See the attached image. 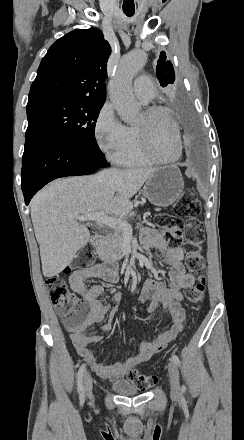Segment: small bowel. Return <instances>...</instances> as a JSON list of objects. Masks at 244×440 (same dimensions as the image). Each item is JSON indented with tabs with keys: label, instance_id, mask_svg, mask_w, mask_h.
I'll use <instances>...</instances> for the list:
<instances>
[{
	"label": "small bowel",
	"instance_id": "c3829d8e",
	"mask_svg": "<svg viewBox=\"0 0 244 440\" xmlns=\"http://www.w3.org/2000/svg\"><path fill=\"white\" fill-rule=\"evenodd\" d=\"M141 243L145 247L155 249L161 255L162 263L169 266L170 270L168 272V284L154 278L146 279L138 300L140 302H148L147 311L149 313L155 312L162 305L164 310L171 315L173 321L171 326L160 334L157 339L142 344L139 351L125 362L114 364L98 362L89 345L100 343L102 336L87 332L89 327L104 320L110 306L102 302V298L106 295L105 290L96 284L87 285L85 281L96 277L105 282L114 283L118 279L117 268L114 265L98 264L76 270L69 277V284L72 290L81 300L88 301V307H91L92 311L91 316L86 318L87 326L83 327V335H70L71 341L79 356L104 380L116 381L123 379L140 363L166 349L186 327V312L182 306V290L192 286L195 279L185 269L183 263L184 249L169 245L157 229L149 227L142 229ZM111 295L115 301H120L121 296L117 290H113ZM109 329V323L102 327L103 331Z\"/></svg>",
	"mask_w": 244,
	"mask_h": 440
}]
</instances>
